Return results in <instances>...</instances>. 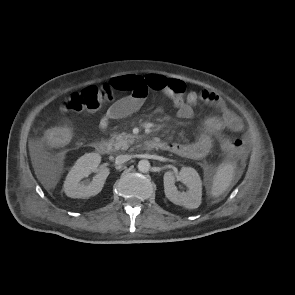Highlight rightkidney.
Returning <instances> with one entry per match:
<instances>
[{"mask_svg": "<svg viewBox=\"0 0 295 295\" xmlns=\"http://www.w3.org/2000/svg\"><path fill=\"white\" fill-rule=\"evenodd\" d=\"M101 156L98 153H87L80 157L72 169L69 171L65 183L64 192L71 198H89L97 195L103 188L109 169L106 167L98 168ZM91 172L97 174L92 182L81 181L88 177Z\"/></svg>", "mask_w": 295, "mask_h": 295, "instance_id": "1", "label": "right kidney"}]
</instances>
